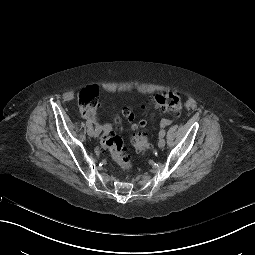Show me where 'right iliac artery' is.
<instances>
[{
  "label": "right iliac artery",
  "instance_id": "1",
  "mask_svg": "<svg viewBox=\"0 0 255 255\" xmlns=\"http://www.w3.org/2000/svg\"><path fill=\"white\" fill-rule=\"evenodd\" d=\"M86 125H87V127H92V124L90 121H86Z\"/></svg>",
  "mask_w": 255,
  "mask_h": 255
}]
</instances>
